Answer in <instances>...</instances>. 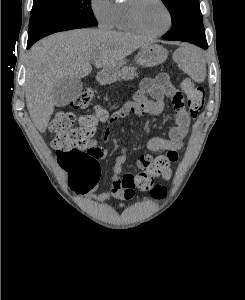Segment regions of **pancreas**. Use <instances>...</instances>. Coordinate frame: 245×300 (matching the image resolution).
I'll return each instance as SVG.
<instances>
[{"mask_svg":"<svg viewBox=\"0 0 245 300\" xmlns=\"http://www.w3.org/2000/svg\"><path fill=\"white\" fill-rule=\"evenodd\" d=\"M136 70L137 68L135 67H125L124 69H122L119 77L120 79L124 80L134 79L135 77H137Z\"/></svg>","mask_w":245,"mask_h":300,"instance_id":"pancreas-1","label":"pancreas"}]
</instances>
